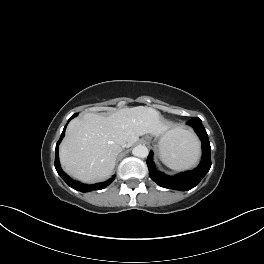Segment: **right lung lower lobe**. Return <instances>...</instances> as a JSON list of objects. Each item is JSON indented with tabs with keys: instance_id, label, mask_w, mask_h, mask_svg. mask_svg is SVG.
Masks as SVG:
<instances>
[{
	"instance_id": "1",
	"label": "right lung lower lobe",
	"mask_w": 264,
	"mask_h": 264,
	"mask_svg": "<svg viewBox=\"0 0 264 264\" xmlns=\"http://www.w3.org/2000/svg\"><path fill=\"white\" fill-rule=\"evenodd\" d=\"M75 116H77V114H74L71 116V118L69 119V121L74 118ZM67 126V125H66ZM66 126L64 127V130L61 134V137L59 139V141L56 144V150H55V168L58 172V174L62 177V179L73 189L80 191V192H89V191H93V190H101L105 187H107L108 185H110L114 179H115V175L110 178L109 180L103 182V183H98V184H93V185H87V184H82L80 182H76L74 180H72L67 174H65V172H63V170L60 167V163H59V156H58V145L60 143V141L62 140V138L65 135V129Z\"/></svg>"
}]
</instances>
